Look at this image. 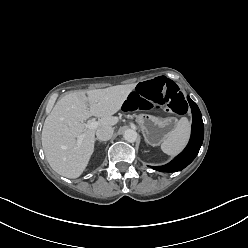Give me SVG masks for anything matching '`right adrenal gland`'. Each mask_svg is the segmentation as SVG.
I'll use <instances>...</instances> for the list:
<instances>
[{
    "instance_id": "right-adrenal-gland-1",
    "label": "right adrenal gland",
    "mask_w": 248,
    "mask_h": 248,
    "mask_svg": "<svg viewBox=\"0 0 248 248\" xmlns=\"http://www.w3.org/2000/svg\"><path fill=\"white\" fill-rule=\"evenodd\" d=\"M96 141L103 142V141H100V140H98V139H96Z\"/></svg>"
}]
</instances>
